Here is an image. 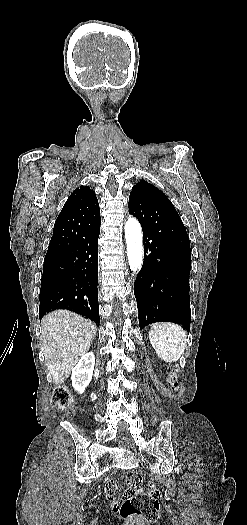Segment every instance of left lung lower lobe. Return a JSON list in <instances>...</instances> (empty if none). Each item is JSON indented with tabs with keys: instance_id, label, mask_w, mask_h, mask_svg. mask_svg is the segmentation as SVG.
Segmentation results:
<instances>
[{
	"instance_id": "0a47b994",
	"label": "left lung lower lobe",
	"mask_w": 247,
	"mask_h": 525,
	"mask_svg": "<svg viewBox=\"0 0 247 525\" xmlns=\"http://www.w3.org/2000/svg\"><path fill=\"white\" fill-rule=\"evenodd\" d=\"M142 230L144 262L134 283L140 329L170 321L189 332L191 254L155 230Z\"/></svg>"
}]
</instances>
